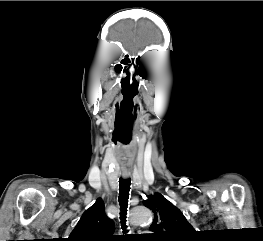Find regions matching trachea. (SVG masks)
Returning a JSON list of instances; mask_svg holds the SVG:
<instances>
[{
    "instance_id": "1",
    "label": "trachea",
    "mask_w": 263,
    "mask_h": 241,
    "mask_svg": "<svg viewBox=\"0 0 263 241\" xmlns=\"http://www.w3.org/2000/svg\"><path fill=\"white\" fill-rule=\"evenodd\" d=\"M130 185H131V180L129 178L128 179L120 178L119 180V203L121 206L120 219H121L122 229L125 232H127L126 215H127V205L129 199Z\"/></svg>"
}]
</instances>
